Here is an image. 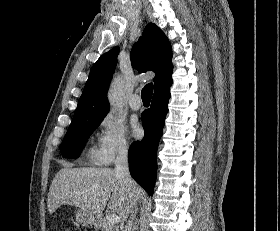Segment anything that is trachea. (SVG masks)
I'll list each match as a JSON object with an SVG mask.
<instances>
[{
	"label": "trachea",
	"mask_w": 280,
	"mask_h": 231,
	"mask_svg": "<svg viewBox=\"0 0 280 231\" xmlns=\"http://www.w3.org/2000/svg\"><path fill=\"white\" fill-rule=\"evenodd\" d=\"M153 93V84L149 83L148 85L144 86L141 92V98L145 106L150 104L151 98Z\"/></svg>",
	"instance_id": "3493384b"
}]
</instances>
